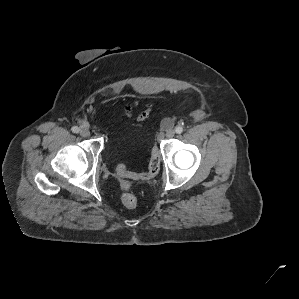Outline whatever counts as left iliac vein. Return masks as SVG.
Returning a JSON list of instances; mask_svg holds the SVG:
<instances>
[{
    "instance_id": "obj_1",
    "label": "left iliac vein",
    "mask_w": 299,
    "mask_h": 299,
    "mask_svg": "<svg viewBox=\"0 0 299 299\" xmlns=\"http://www.w3.org/2000/svg\"><path fill=\"white\" fill-rule=\"evenodd\" d=\"M174 135H175V131L173 129H168L166 131V137L167 138H172V137H174Z\"/></svg>"
}]
</instances>
